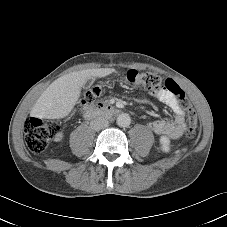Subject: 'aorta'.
Returning <instances> with one entry per match:
<instances>
[{"instance_id":"aorta-1","label":"aorta","mask_w":227,"mask_h":227,"mask_svg":"<svg viewBox=\"0 0 227 227\" xmlns=\"http://www.w3.org/2000/svg\"><path fill=\"white\" fill-rule=\"evenodd\" d=\"M131 123V118L128 114L123 113L117 117V125L120 127H128Z\"/></svg>"}]
</instances>
